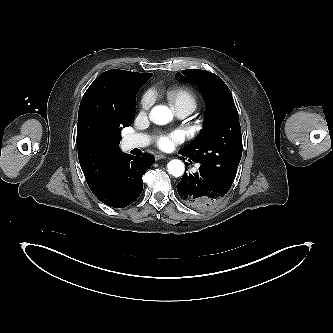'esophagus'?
<instances>
[{"mask_svg":"<svg viewBox=\"0 0 333 333\" xmlns=\"http://www.w3.org/2000/svg\"><path fill=\"white\" fill-rule=\"evenodd\" d=\"M165 158H166V156L163 155V154H156L154 156L155 161H158V160H161V159H165Z\"/></svg>","mask_w":333,"mask_h":333,"instance_id":"obj_1","label":"esophagus"}]
</instances>
